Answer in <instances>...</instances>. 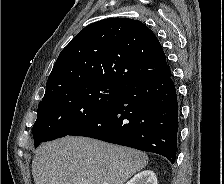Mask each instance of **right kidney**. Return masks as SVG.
<instances>
[{
    "mask_svg": "<svg viewBox=\"0 0 224 184\" xmlns=\"http://www.w3.org/2000/svg\"><path fill=\"white\" fill-rule=\"evenodd\" d=\"M126 184H157V177L151 170H145L136 174Z\"/></svg>",
    "mask_w": 224,
    "mask_h": 184,
    "instance_id": "ca27d5eb",
    "label": "right kidney"
}]
</instances>
